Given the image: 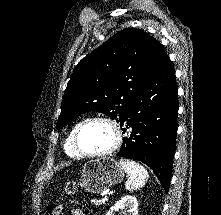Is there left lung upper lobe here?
Listing matches in <instances>:
<instances>
[{
    "mask_svg": "<svg viewBox=\"0 0 221 215\" xmlns=\"http://www.w3.org/2000/svg\"><path fill=\"white\" fill-rule=\"evenodd\" d=\"M167 57L161 44L143 30L118 32L75 67L57 127L87 111L104 113L121 123L136 94Z\"/></svg>",
    "mask_w": 221,
    "mask_h": 215,
    "instance_id": "5c2ea615",
    "label": "left lung upper lobe"
}]
</instances>
